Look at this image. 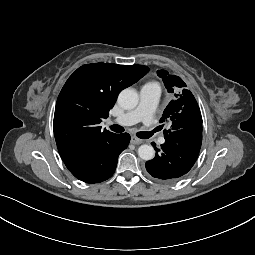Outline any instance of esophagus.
<instances>
[{
    "mask_svg": "<svg viewBox=\"0 0 255 255\" xmlns=\"http://www.w3.org/2000/svg\"><path fill=\"white\" fill-rule=\"evenodd\" d=\"M142 142H143V140L137 138L136 136L131 137V143L132 144H141Z\"/></svg>",
    "mask_w": 255,
    "mask_h": 255,
    "instance_id": "34e87169",
    "label": "esophagus"
}]
</instances>
